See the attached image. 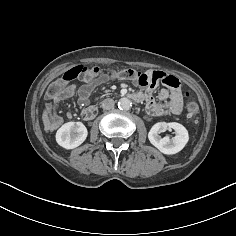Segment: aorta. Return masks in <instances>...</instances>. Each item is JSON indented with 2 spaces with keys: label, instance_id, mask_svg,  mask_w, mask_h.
<instances>
[{
  "label": "aorta",
  "instance_id": "aorta-1",
  "mask_svg": "<svg viewBox=\"0 0 236 236\" xmlns=\"http://www.w3.org/2000/svg\"><path fill=\"white\" fill-rule=\"evenodd\" d=\"M132 106V102L130 101V99L123 97L119 100L118 102V107L121 110H129Z\"/></svg>",
  "mask_w": 236,
  "mask_h": 236
}]
</instances>
